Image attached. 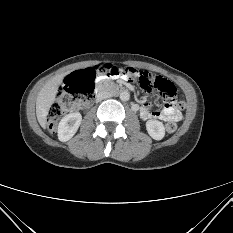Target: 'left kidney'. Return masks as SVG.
<instances>
[{
  "mask_svg": "<svg viewBox=\"0 0 233 233\" xmlns=\"http://www.w3.org/2000/svg\"><path fill=\"white\" fill-rule=\"evenodd\" d=\"M148 134L155 140H161L165 136V128L162 122L158 120H148L146 122Z\"/></svg>",
  "mask_w": 233,
  "mask_h": 233,
  "instance_id": "1",
  "label": "left kidney"
}]
</instances>
